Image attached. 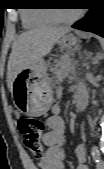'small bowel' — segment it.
<instances>
[{
  "instance_id": "small-bowel-1",
  "label": "small bowel",
  "mask_w": 104,
  "mask_h": 169,
  "mask_svg": "<svg viewBox=\"0 0 104 169\" xmlns=\"http://www.w3.org/2000/svg\"><path fill=\"white\" fill-rule=\"evenodd\" d=\"M87 96L83 89L77 91L76 97ZM48 130L43 136V142L48 147L44 158L39 161V169H64V162L67 153L64 149L65 122L61 117V107L54 105L51 109V115L46 121ZM78 159L76 169H89L86 163V147L84 143L79 144L75 149Z\"/></svg>"
}]
</instances>
